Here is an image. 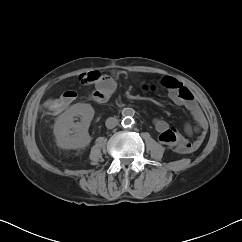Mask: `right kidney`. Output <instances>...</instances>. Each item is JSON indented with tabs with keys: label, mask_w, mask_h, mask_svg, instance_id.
Segmentation results:
<instances>
[{
	"label": "right kidney",
	"mask_w": 242,
	"mask_h": 242,
	"mask_svg": "<svg viewBox=\"0 0 242 242\" xmlns=\"http://www.w3.org/2000/svg\"><path fill=\"white\" fill-rule=\"evenodd\" d=\"M94 113L93 107L86 103L73 104L63 112L54 125L57 146L62 149H83L87 147L91 142L88 128ZM77 116L80 117V122L75 123L74 118Z\"/></svg>",
	"instance_id": "ca27d5eb"
}]
</instances>
